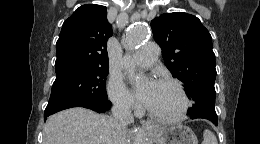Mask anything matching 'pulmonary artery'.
I'll return each instance as SVG.
<instances>
[{
  "label": "pulmonary artery",
  "mask_w": 260,
  "mask_h": 144,
  "mask_svg": "<svg viewBox=\"0 0 260 144\" xmlns=\"http://www.w3.org/2000/svg\"><path fill=\"white\" fill-rule=\"evenodd\" d=\"M159 56V48L156 44L150 43L144 45L133 58L137 65L141 67H150L153 65Z\"/></svg>",
  "instance_id": "1"
}]
</instances>
